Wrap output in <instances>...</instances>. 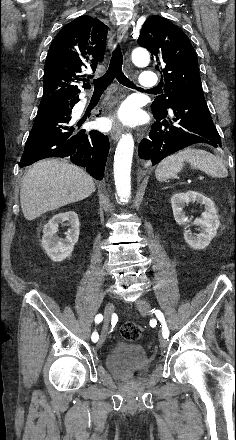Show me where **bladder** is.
<instances>
[{
    "label": "bladder",
    "instance_id": "obj_1",
    "mask_svg": "<svg viewBox=\"0 0 236 440\" xmlns=\"http://www.w3.org/2000/svg\"><path fill=\"white\" fill-rule=\"evenodd\" d=\"M105 363L110 372L120 374L129 367L147 368L149 358L140 344L119 342L108 352Z\"/></svg>",
    "mask_w": 236,
    "mask_h": 440
}]
</instances>
